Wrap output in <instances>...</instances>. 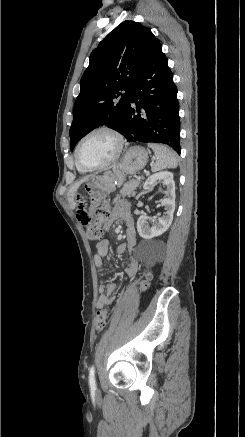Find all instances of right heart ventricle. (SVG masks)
Segmentation results:
<instances>
[{
	"label": "right heart ventricle",
	"mask_w": 245,
	"mask_h": 437,
	"mask_svg": "<svg viewBox=\"0 0 245 437\" xmlns=\"http://www.w3.org/2000/svg\"><path fill=\"white\" fill-rule=\"evenodd\" d=\"M76 168H77V170H78L80 173H82V174L88 172V170H86V169L82 168L81 166H79V165L77 164V162H76Z\"/></svg>",
	"instance_id": "e07e8e85"
}]
</instances>
